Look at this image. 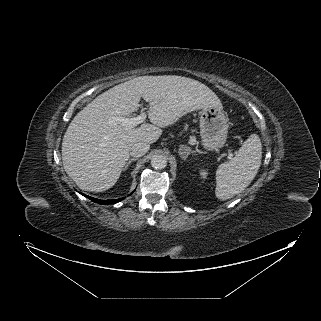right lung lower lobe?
<instances>
[{
	"label": "right lung lower lobe",
	"mask_w": 321,
	"mask_h": 321,
	"mask_svg": "<svg viewBox=\"0 0 321 321\" xmlns=\"http://www.w3.org/2000/svg\"><path fill=\"white\" fill-rule=\"evenodd\" d=\"M84 196L89 198L91 201L99 203V204H114V203H117V202H119V201L124 199V198H120V199H114V200H99V199H96V198H93V197H90V196H87V195H84Z\"/></svg>",
	"instance_id": "1"
}]
</instances>
